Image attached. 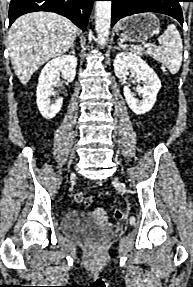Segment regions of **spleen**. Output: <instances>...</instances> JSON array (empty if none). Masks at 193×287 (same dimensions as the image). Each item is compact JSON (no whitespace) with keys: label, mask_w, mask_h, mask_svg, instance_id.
Instances as JSON below:
<instances>
[{"label":"spleen","mask_w":193,"mask_h":287,"mask_svg":"<svg viewBox=\"0 0 193 287\" xmlns=\"http://www.w3.org/2000/svg\"><path fill=\"white\" fill-rule=\"evenodd\" d=\"M160 46H150L147 53L165 65L171 74H176L182 63L183 44L179 31L170 24L158 38Z\"/></svg>","instance_id":"obj_1"}]
</instances>
